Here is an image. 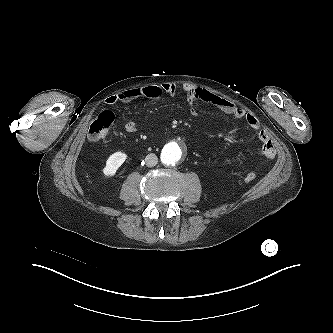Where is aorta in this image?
Listing matches in <instances>:
<instances>
[{"label":"aorta","instance_id":"762f6f07","mask_svg":"<svg viewBox=\"0 0 333 333\" xmlns=\"http://www.w3.org/2000/svg\"><path fill=\"white\" fill-rule=\"evenodd\" d=\"M184 147L181 144L166 145L161 152V161L165 165H176L182 157Z\"/></svg>","mask_w":333,"mask_h":333}]
</instances>
